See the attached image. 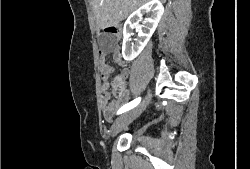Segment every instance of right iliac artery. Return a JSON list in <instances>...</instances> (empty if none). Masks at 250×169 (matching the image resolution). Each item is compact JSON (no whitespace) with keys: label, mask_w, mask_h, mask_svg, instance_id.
I'll list each match as a JSON object with an SVG mask.
<instances>
[{"label":"right iliac artery","mask_w":250,"mask_h":169,"mask_svg":"<svg viewBox=\"0 0 250 169\" xmlns=\"http://www.w3.org/2000/svg\"><path fill=\"white\" fill-rule=\"evenodd\" d=\"M140 101H141L140 97L136 98L135 100H133L130 103H128V104L124 105L123 107H121L118 110L117 114H122V113H124V112H126V111H128V110H130V109H132L134 107H136L140 103Z\"/></svg>","instance_id":"82829eb1"}]
</instances>
